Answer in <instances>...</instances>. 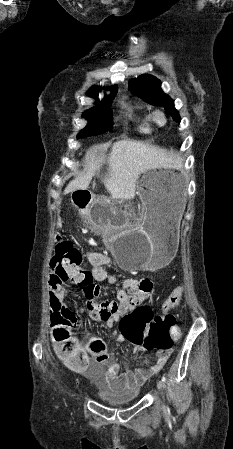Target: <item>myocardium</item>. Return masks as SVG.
Listing matches in <instances>:
<instances>
[{
  "label": "myocardium",
  "instance_id": "f54148a6",
  "mask_svg": "<svg viewBox=\"0 0 233 449\" xmlns=\"http://www.w3.org/2000/svg\"><path fill=\"white\" fill-rule=\"evenodd\" d=\"M150 116H151L152 121L159 126L165 125L168 121L166 113L162 109H159V108L154 109L151 112Z\"/></svg>",
  "mask_w": 233,
  "mask_h": 449
}]
</instances>
